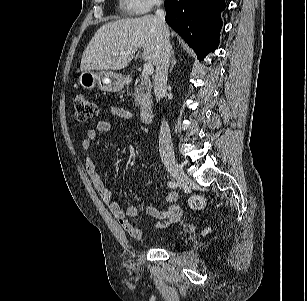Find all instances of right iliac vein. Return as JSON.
Returning a JSON list of instances; mask_svg holds the SVG:
<instances>
[{
	"mask_svg": "<svg viewBox=\"0 0 307 301\" xmlns=\"http://www.w3.org/2000/svg\"><path fill=\"white\" fill-rule=\"evenodd\" d=\"M164 165L168 172L181 184L185 187L189 184L190 179L183 171L181 165L173 157H165Z\"/></svg>",
	"mask_w": 307,
	"mask_h": 301,
	"instance_id": "63e3f726",
	"label": "right iliac vein"
}]
</instances>
